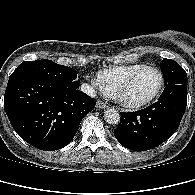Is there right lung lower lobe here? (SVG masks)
I'll return each mask as SVG.
<instances>
[{"mask_svg":"<svg viewBox=\"0 0 195 195\" xmlns=\"http://www.w3.org/2000/svg\"><path fill=\"white\" fill-rule=\"evenodd\" d=\"M64 89L59 83L25 73L9 77L4 109L15 131L32 146L46 151L71 142L83 117L96 101L77 90L80 81Z\"/></svg>","mask_w":195,"mask_h":195,"instance_id":"right-lung-lower-lobe-1","label":"right lung lower lobe"}]
</instances>
